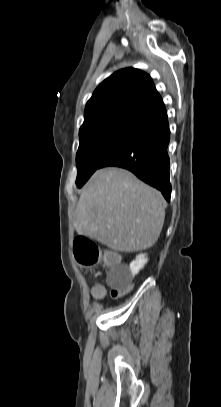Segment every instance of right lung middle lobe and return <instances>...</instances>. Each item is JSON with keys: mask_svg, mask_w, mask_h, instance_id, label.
<instances>
[{"mask_svg": "<svg viewBox=\"0 0 221 407\" xmlns=\"http://www.w3.org/2000/svg\"><path fill=\"white\" fill-rule=\"evenodd\" d=\"M138 125L120 124L94 130L80 137L76 154V185L82 187L90 176L100 168L101 163L115 151Z\"/></svg>", "mask_w": 221, "mask_h": 407, "instance_id": "dd1d6c3e", "label": "right lung middle lobe"}]
</instances>
